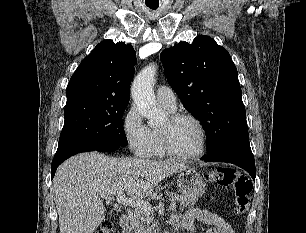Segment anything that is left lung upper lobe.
Listing matches in <instances>:
<instances>
[{"label":"left lung upper lobe","mask_w":306,"mask_h":233,"mask_svg":"<svg viewBox=\"0 0 306 233\" xmlns=\"http://www.w3.org/2000/svg\"><path fill=\"white\" fill-rule=\"evenodd\" d=\"M160 59L170 86L202 123L208 153L249 142L238 72L225 48L198 36L163 50Z\"/></svg>","instance_id":"5c2ea615"}]
</instances>
